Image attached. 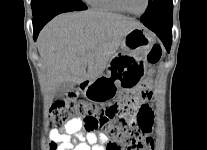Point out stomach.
Here are the masks:
<instances>
[{
  "label": "stomach",
  "mask_w": 207,
  "mask_h": 150,
  "mask_svg": "<svg viewBox=\"0 0 207 150\" xmlns=\"http://www.w3.org/2000/svg\"><path fill=\"white\" fill-rule=\"evenodd\" d=\"M153 43V37L141 26L130 29L121 42L120 51L111 57L107 74L90 80L84 95L91 100L104 101L118 96L122 87L144 84L148 75L146 55Z\"/></svg>",
  "instance_id": "obj_1"
}]
</instances>
